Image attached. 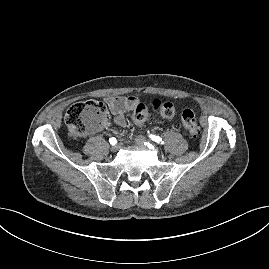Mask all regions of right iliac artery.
Wrapping results in <instances>:
<instances>
[{
    "label": "right iliac artery",
    "instance_id": "82829eb1",
    "mask_svg": "<svg viewBox=\"0 0 269 269\" xmlns=\"http://www.w3.org/2000/svg\"><path fill=\"white\" fill-rule=\"evenodd\" d=\"M109 142H110L111 145H116L117 140H116V138H110Z\"/></svg>",
    "mask_w": 269,
    "mask_h": 269
}]
</instances>
